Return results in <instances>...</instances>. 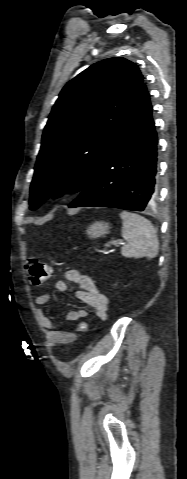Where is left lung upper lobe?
Wrapping results in <instances>:
<instances>
[{
	"mask_svg": "<svg viewBox=\"0 0 187 479\" xmlns=\"http://www.w3.org/2000/svg\"><path fill=\"white\" fill-rule=\"evenodd\" d=\"M122 57L99 61L62 89L42 136L30 188V209L80 191L111 150L143 83Z\"/></svg>",
	"mask_w": 187,
	"mask_h": 479,
	"instance_id": "obj_1",
	"label": "left lung upper lobe"
}]
</instances>
